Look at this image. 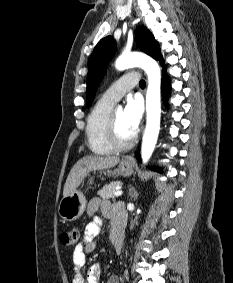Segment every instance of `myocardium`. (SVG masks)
I'll use <instances>...</instances> for the list:
<instances>
[{"instance_id":"obj_1","label":"myocardium","mask_w":233,"mask_h":283,"mask_svg":"<svg viewBox=\"0 0 233 283\" xmlns=\"http://www.w3.org/2000/svg\"><path fill=\"white\" fill-rule=\"evenodd\" d=\"M106 138H107L108 144L113 150L123 151V150L130 148L135 143L137 139V134L134 133L133 136L125 142L119 141L117 137V131H116L115 111H112L110 113L108 123H107Z\"/></svg>"}]
</instances>
